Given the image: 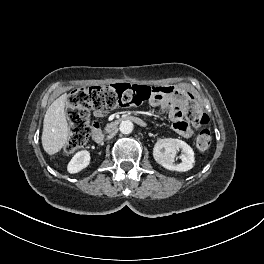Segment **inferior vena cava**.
I'll return each mask as SVG.
<instances>
[{
    "mask_svg": "<svg viewBox=\"0 0 264 264\" xmlns=\"http://www.w3.org/2000/svg\"><path fill=\"white\" fill-rule=\"evenodd\" d=\"M119 134V131L118 130H114L112 133H110L108 136H107V139H111L113 138L115 135H118Z\"/></svg>",
    "mask_w": 264,
    "mask_h": 264,
    "instance_id": "inferior-vena-cava-1",
    "label": "inferior vena cava"
}]
</instances>
